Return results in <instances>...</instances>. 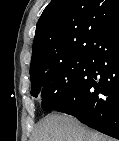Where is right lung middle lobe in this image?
Segmentation results:
<instances>
[{"instance_id": "obj_1", "label": "right lung middle lobe", "mask_w": 119, "mask_h": 141, "mask_svg": "<svg viewBox=\"0 0 119 141\" xmlns=\"http://www.w3.org/2000/svg\"><path fill=\"white\" fill-rule=\"evenodd\" d=\"M89 67V58L81 57L64 65L30 74L31 95L42 97V108L51 110L69 99Z\"/></svg>"}]
</instances>
